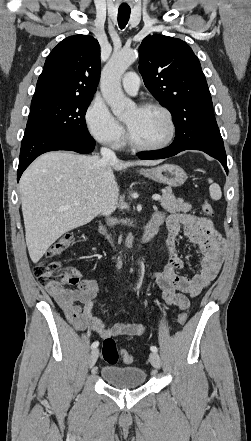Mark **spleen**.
<instances>
[{"instance_id": "1", "label": "spleen", "mask_w": 251, "mask_h": 441, "mask_svg": "<svg viewBox=\"0 0 251 441\" xmlns=\"http://www.w3.org/2000/svg\"><path fill=\"white\" fill-rule=\"evenodd\" d=\"M209 183H211L209 187L210 197L212 200H220L222 197L221 188L218 184L213 183L212 179H208Z\"/></svg>"}]
</instances>
